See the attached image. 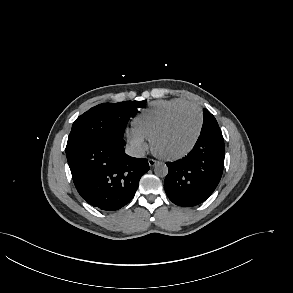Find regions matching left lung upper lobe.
<instances>
[{
	"mask_svg": "<svg viewBox=\"0 0 293 293\" xmlns=\"http://www.w3.org/2000/svg\"><path fill=\"white\" fill-rule=\"evenodd\" d=\"M203 114H204V122H203L202 130H205L210 127H219L214 116L206 108L203 109Z\"/></svg>",
	"mask_w": 293,
	"mask_h": 293,
	"instance_id": "5c2ea615",
	"label": "left lung upper lobe"
}]
</instances>
